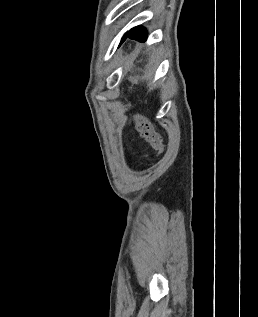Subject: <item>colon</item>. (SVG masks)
Here are the masks:
<instances>
[{"mask_svg": "<svg viewBox=\"0 0 258 317\" xmlns=\"http://www.w3.org/2000/svg\"><path fill=\"white\" fill-rule=\"evenodd\" d=\"M131 125L152 146V148L155 149L158 154L163 152V137L150 121L140 114H135L132 117Z\"/></svg>", "mask_w": 258, "mask_h": 317, "instance_id": "5ec220e1", "label": "colon"}]
</instances>
